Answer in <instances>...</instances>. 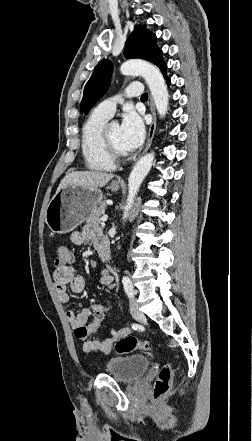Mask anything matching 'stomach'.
<instances>
[{"instance_id":"stomach-1","label":"stomach","mask_w":252,"mask_h":441,"mask_svg":"<svg viewBox=\"0 0 252 441\" xmlns=\"http://www.w3.org/2000/svg\"><path fill=\"white\" fill-rule=\"evenodd\" d=\"M113 192L119 185L112 183ZM103 194L98 188L68 185L58 190L50 200L45 221L51 232L65 234L80 225L102 202Z\"/></svg>"}]
</instances>
